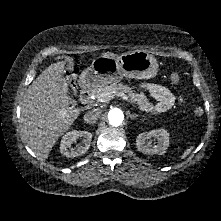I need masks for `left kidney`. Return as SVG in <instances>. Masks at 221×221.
<instances>
[{
    "mask_svg": "<svg viewBox=\"0 0 221 221\" xmlns=\"http://www.w3.org/2000/svg\"><path fill=\"white\" fill-rule=\"evenodd\" d=\"M151 138H154V143H152ZM136 145L138 150L144 154L162 155L169 146V133L165 129L141 133L137 136Z\"/></svg>",
    "mask_w": 221,
    "mask_h": 221,
    "instance_id": "left-kidney-1",
    "label": "left kidney"
}]
</instances>
